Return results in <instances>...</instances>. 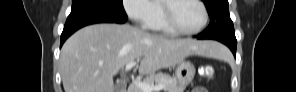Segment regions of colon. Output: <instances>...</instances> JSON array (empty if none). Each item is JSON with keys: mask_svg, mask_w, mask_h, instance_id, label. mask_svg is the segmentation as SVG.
Masks as SVG:
<instances>
[{"mask_svg": "<svg viewBox=\"0 0 296 92\" xmlns=\"http://www.w3.org/2000/svg\"><path fill=\"white\" fill-rule=\"evenodd\" d=\"M201 74L203 77L207 79H211L214 75V68L211 66H208L201 70ZM193 92H207V90L203 87H197L193 90Z\"/></svg>", "mask_w": 296, "mask_h": 92, "instance_id": "5ec220e1", "label": "colon"}]
</instances>
